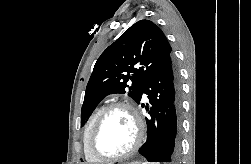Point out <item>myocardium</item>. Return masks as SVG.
I'll return each instance as SVG.
<instances>
[{
	"label": "myocardium",
	"instance_id": "f54148a6",
	"mask_svg": "<svg viewBox=\"0 0 251 164\" xmlns=\"http://www.w3.org/2000/svg\"><path fill=\"white\" fill-rule=\"evenodd\" d=\"M118 108L126 109L131 114L134 120L135 126H136V138L131 148L125 153L116 155V156H104L96 150L95 141L99 133V130L103 122L105 121L106 117L113 110L118 109ZM144 136H145L144 122L138 110L135 108V106L127 101H117L106 106L97 117L90 132L89 141H88V149H89L90 154L98 161H101V162L119 161L133 155L142 145Z\"/></svg>",
	"mask_w": 251,
	"mask_h": 164
}]
</instances>
